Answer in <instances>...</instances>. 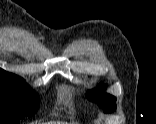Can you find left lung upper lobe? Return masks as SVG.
I'll list each match as a JSON object with an SVG mask.
<instances>
[{
    "label": "left lung upper lobe",
    "mask_w": 156,
    "mask_h": 124,
    "mask_svg": "<svg viewBox=\"0 0 156 124\" xmlns=\"http://www.w3.org/2000/svg\"><path fill=\"white\" fill-rule=\"evenodd\" d=\"M104 87L96 89L88 93L87 98L96 102L105 113H111L116 109V98L110 94L103 92Z\"/></svg>",
    "instance_id": "left-lung-upper-lobe-1"
}]
</instances>
